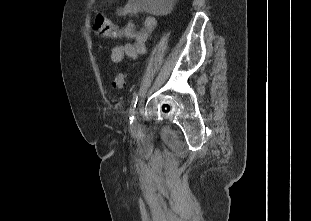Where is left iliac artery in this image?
Here are the masks:
<instances>
[{"label":"left iliac artery","mask_w":311,"mask_h":221,"mask_svg":"<svg viewBox=\"0 0 311 221\" xmlns=\"http://www.w3.org/2000/svg\"><path fill=\"white\" fill-rule=\"evenodd\" d=\"M138 97H139V94L138 93H134L133 98L131 100V106H130V110H129V113H130V123L133 122V120H134V113H135V108H136V105H137Z\"/></svg>","instance_id":"1"}]
</instances>
